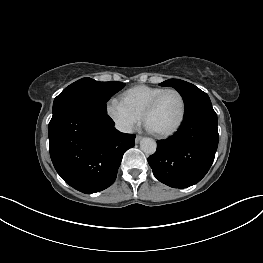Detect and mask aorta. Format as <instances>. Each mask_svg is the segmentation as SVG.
I'll use <instances>...</instances> for the list:
<instances>
[{"label": "aorta", "mask_w": 263, "mask_h": 263, "mask_svg": "<svg viewBox=\"0 0 263 263\" xmlns=\"http://www.w3.org/2000/svg\"><path fill=\"white\" fill-rule=\"evenodd\" d=\"M140 148L145 154H154L156 152L157 144L152 138H143L140 142Z\"/></svg>", "instance_id": "1"}]
</instances>
